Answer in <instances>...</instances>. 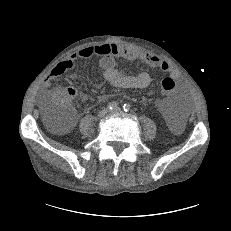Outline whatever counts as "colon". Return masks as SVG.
<instances>
[{"label":"colon","mask_w":231,"mask_h":231,"mask_svg":"<svg viewBox=\"0 0 231 231\" xmlns=\"http://www.w3.org/2000/svg\"><path fill=\"white\" fill-rule=\"evenodd\" d=\"M160 92L165 96H172L177 91L175 79L171 75H164L160 79ZM75 96L73 88H66L52 94L45 105V120L56 130L69 128L75 114L70 106V100Z\"/></svg>","instance_id":"5ec220e1"}]
</instances>
